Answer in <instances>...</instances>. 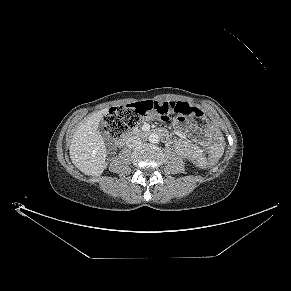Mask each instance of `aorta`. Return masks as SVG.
Returning a JSON list of instances; mask_svg holds the SVG:
<instances>
[{"instance_id": "obj_1", "label": "aorta", "mask_w": 291, "mask_h": 291, "mask_svg": "<svg viewBox=\"0 0 291 291\" xmlns=\"http://www.w3.org/2000/svg\"><path fill=\"white\" fill-rule=\"evenodd\" d=\"M149 142L155 144L159 142V136L155 133L149 135Z\"/></svg>"}]
</instances>
